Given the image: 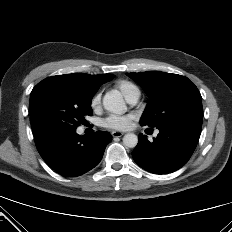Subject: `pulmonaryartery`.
Wrapping results in <instances>:
<instances>
[{"mask_svg": "<svg viewBox=\"0 0 232 232\" xmlns=\"http://www.w3.org/2000/svg\"><path fill=\"white\" fill-rule=\"evenodd\" d=\"M138 98L139 97L133 98V99L129 100V102L132 103V104H134V103H136V101L138 100ZM155 134L157 135L158 131H156Z\"/></svg>", "mask_w": 232, "mask_h": 232, "instance_id": "obj_1", "label": "pulmonary artery"}]
</instances>
